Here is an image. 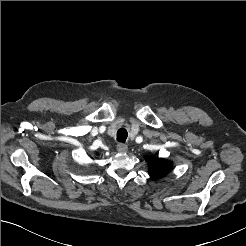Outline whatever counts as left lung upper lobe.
I'll return each instance as SVG.
<instances>
[{
  "label": "left lung upper lobe",
  "mask_w": 246,
  "mask_h": 246,
  "mask_svg": "<svg viewBox=\"0 0 246 246\" xmlns=\"http://www.w3.org/2000/svg\"><path fill=\"white\" fill-rule=\"evenodd\" d=\"M149 161V175L152 178H162L168 174L172 168V163L165 159H156L154 157H146Z\"/></svg>",
  "instance_id": "5c2ea615"
}]
</instances>
